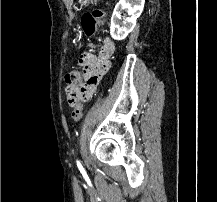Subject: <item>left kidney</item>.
<instances>
[{
  "label": "left kidney",
  "mask_w": 217,
  "mask_h": 202,
  "mask_svg": "<svg viewBox=\"0 0 217 202\" xmlns=\"http://www.w3.org/2000/svg\"><path fill=\"white\" fill-rule=\"evenodd\" d=\"M144 8V0H120L114 8L111 18L110 34L113 40H125L136 26ZM126 12L124 16H121ZM129 16V18H125Z\"/></svg>",
  "instance_id": "1"
}]
</instances>
